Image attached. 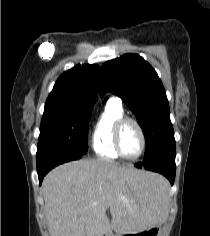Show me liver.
<instances>
[{"mask_svg": "<svg viewBox=\"0 0 210 236\" xmlns=\"http://www.w3.org/2000/svg\"><path fill=\"white\" fill-rule=\"evenodd\" d=\"M167 187L159 174L101 158L62 164L42 183L50 236H103L111 229L122 235L146 229L159 220Z\"/></svg>", "mask_w": 210, "mask_h": 236, "instance_id": "1", "label": "liver"}]
</instances>
